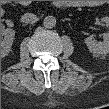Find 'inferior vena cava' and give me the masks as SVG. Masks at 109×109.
I'll return each mask as SVG.
<instances>
[{
    "instance_id": "1",
    "label": "inferior vena cava",
    "mask_w": 109,
    "mask_h": 109,
    "mask_svg": "<svg viewBox=\"0 0 109 109\" xmlns=\"http://www.w3.org/2000/svg\"><path fill=\"white\" fill-rule=\"evenodd\" d=\"M36 19V15L32 14V13H25L22 17H21V21L23 23H30L33 20Z\"/></svg>"
}]
</instances>
